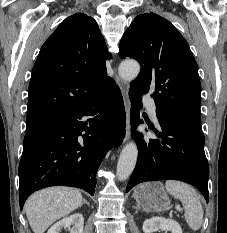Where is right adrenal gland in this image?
Listing matches in <instances>:
<instances>
[{
	"label": "right adrenal gland",
	"mask_w": 227,
	"mask_h": 233,
	"mask_svg": "<svg viewBox=\"0 0 227 233\" xmlns=\"http://www.w3.org/2000/svg\"><path fill=\"white\" fill-rule=\"evenodd\" d=\"M84 204H87L88 206H90V203L86 200L83 201Z\"/></svg>",
	"instance_id": "1"
}]
</instances>
